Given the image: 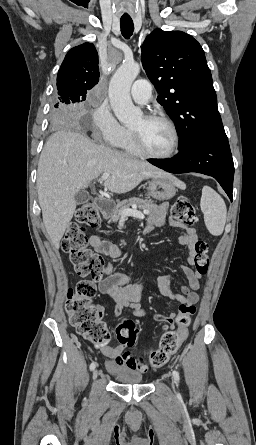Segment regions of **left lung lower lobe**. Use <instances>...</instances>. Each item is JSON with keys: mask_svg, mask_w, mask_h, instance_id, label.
Returning a JSON list of instances; mask_svg holds the SVG:
<instances>
[{"mask_svg": "<svg viewBox=\"0 0 256 445\" xmlns=\"http://www.w3.org/2000/svg\"><path fill=\"white\" fill-rule=\"evenodd\" d=\"M170 173L197 172L214 177L232 201L234 164L225 133L196 137L173 159H150Z\"/></svg>", "mask_w": 256, "mask_h": 445, "instance_id": "obj_1", "label": "left lung lower lobe"}]
</instances>
